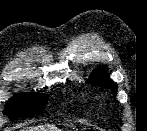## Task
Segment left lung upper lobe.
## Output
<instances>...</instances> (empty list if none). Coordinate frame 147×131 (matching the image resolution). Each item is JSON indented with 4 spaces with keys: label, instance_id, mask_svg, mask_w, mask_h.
Wrapping results in <instances>:
<instances>
[{
    "label": "left lung upper lobe",
    "instance_id": "obj_1",
    "mask_svg": "<svg viewBox=\"0 0 147 131\" xmlns=\"http://www.w3.org/2000/svg\"><path fill=\"white\" fill-rule=\"evenodd\" d=\"M107 70L108 69L105 66L99 67L92 72L90 78L86 82L92 85L110 88L116 95L117 84L108 78Z\"/></svg>",
    "mask_w": 147,
    "mask_h": 131
}]
</instances>
